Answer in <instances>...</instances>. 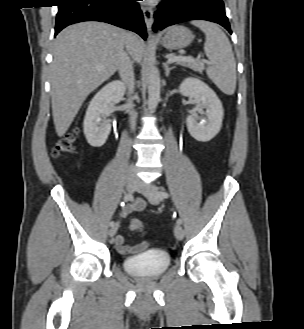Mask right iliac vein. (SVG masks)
<instances>
[{
  "label": "right iliac vein",
  "instance_id": "obj_1",
  "mask_svg": "<svg viewBox=\"0 0 304 329\" xmlns=\"http://www.w3.org/2000/svg\"><path fill=\"white\" fill-rule=\"evenodd\" d=\"M137 186H138V180L136 178H134V177H128L127 178V180H126V190L129 193H133L137 189ZM117 229H118V224L116 223L115 225H113L110 228L109 236L113 237L116 234Z\"/></svg>",
  "mask_w": 304,
  "mask_h": 329
}]
</instances>
